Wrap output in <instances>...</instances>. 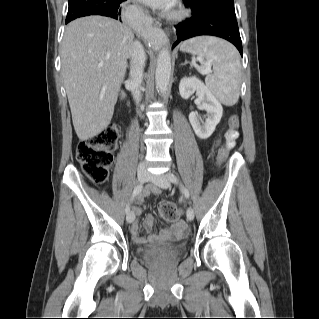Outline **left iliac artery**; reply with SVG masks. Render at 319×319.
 Segmentation results:
<instances>
[{
    "label": "left iliac artery",
    "instance_id": "left-iliac-artery-1",
    "mask_svg": "<svg viewBox=\"0 0 319 319\" xmlns=\"http://www.w3.org/2000/svg\"><path fill=\"white\" fill-rule=\"evenodd\" d=\"M168 179L172 182V183H176L178 184L179 183V180L177 178V176L173 173H169L167 175ZM181 187V192L183 193V195L185 196L186 199H189V191L182 185H180Z\"/></svg>",
    "mask_w": 319,
    "mask_h": 319
}]
</instances>
